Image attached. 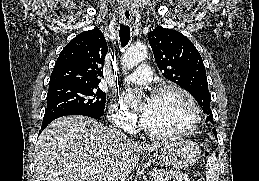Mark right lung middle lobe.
I'll return each instance as SVG.
<instances>
[{"instance_id":"obj_1","label":"right lung middle lobe","mask_w":259,"mask_h":181,"mask_svg":"<svg viewBox=\"0 0 259 181\" xmlns=\"http://www.w3.org/2000/svg\"><path fill=\"white\" fill-rule=\"evenodd\" d=\"M105 102L106 94L98 86L71 83L49 86L48 104L43 121L67 111H85L103 115Z\"/></svg>"}]
</instances>
